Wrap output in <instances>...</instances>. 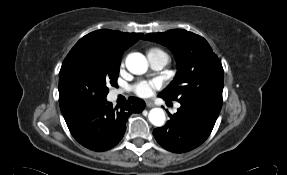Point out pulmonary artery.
Instances as JSON below:
<instances>
[{
    "label": "pulmonary artery",
    "instance_id": "1",
    "mask_svg": "<svg viewBox=\"0 0 287 175\" xmlns=\"http://www.w3.org/2000/svg\"><path fill=\"white\" fill-rule=\"evenodd\" d=\"M147 57H148V60L150 62V65L152 66V68L157 69V70L162 69L169 62L168 55L162 50H157V49L151 50V51H149ZM120 93H121V91L115 90L113 92V95L117 96ZM176 107L177 108L180 107V104H176Z\"/></svg>",
    "mask_w": 287,
    "mask_h": 175
}]
</instances>
